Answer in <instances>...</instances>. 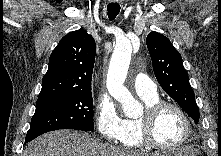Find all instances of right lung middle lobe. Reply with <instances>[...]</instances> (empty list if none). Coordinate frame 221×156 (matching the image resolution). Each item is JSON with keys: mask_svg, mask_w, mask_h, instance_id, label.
Segmentation results:
<instances>
[{"mask_svg": "<svg viewBox=\"0 0 221 156\" xmlns=\"http://www.w3.org/2000/svg\"><path fill=\"white\" fill-rule=\"evenodd\" d=\"M57 129L94 130L91 90L38 98L25 142Z\"/></svg>", "mask_w": 221, "mask_h": 156, "instance_id": "dd1d6c3e", "label": "right lung middle lobe"}]
</instances>
